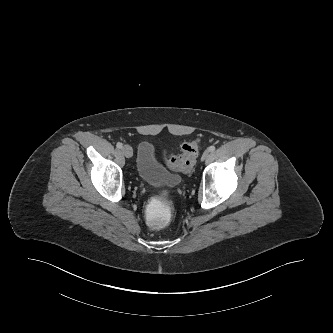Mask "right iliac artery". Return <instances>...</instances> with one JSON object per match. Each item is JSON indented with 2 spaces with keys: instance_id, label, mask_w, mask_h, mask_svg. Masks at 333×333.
I'll return each instance as SVG.
<instances>
[{
  "instance_id": "82829eb1",
  "label": "right iliac artery",
  "mask_w": 333,
  "mask_h": 333,
  "mask_svg": "<svg viewBox=\"0 0 333 333\" xmlns=\"http://www.w3.org/2000/svg\"><path fill=\"white\" fill-rule=\"evenodd\" d=\"M116 146H117V148L121 149L123 147V144L118 142Z\"/></svg>"
}]
</instances>
